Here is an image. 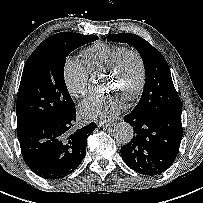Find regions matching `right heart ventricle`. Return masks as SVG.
I'll use <instances>...</instances> for the list:
<instances>
[{
  "label": "right heart ventricle",
  "mask_w": 203,
  "mask_h": 203,
  "mask_svg": "<svg viewBox=\"0 0 203 203\" xmlns=\"http://www.w3.org/2000/svg\"><path fill=\"white\" fill-rule=\"evenodd\" d=\"M124 50L125 48L121 45L96 43L84 49L81 56L88 71H106Z\"/></svg>",
  "instance_id": "e07e8e85"
}]
</instances>
